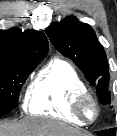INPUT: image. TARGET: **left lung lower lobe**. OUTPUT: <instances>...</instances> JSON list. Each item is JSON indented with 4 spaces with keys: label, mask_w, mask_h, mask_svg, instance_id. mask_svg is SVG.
<instances>
[{
    "label": "left lung lower lobe",
    "mask_w": 117,
    "mask_h": 136,
    "mask_svg": "<svg viewBox=\"0 0 117 136\" xmlns=\"http://www.w3.org/2000/svg\"><path fill=\"white\" fill-rule=\"evenodd\" d=\"M96 134L98 136H115V130L111 129L109 131H98Z\"/></svg>",
    "instance_id": "obj_1"
}]
</instances>
